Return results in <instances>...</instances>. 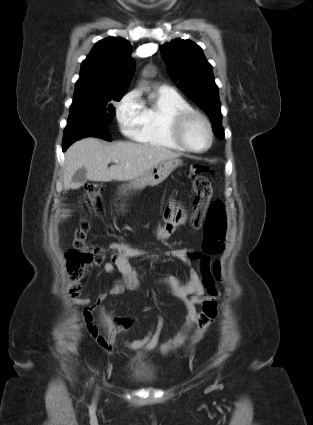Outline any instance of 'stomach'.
I'll return each instance as SVG.
<instances>
[{
	"mask_svg": "<svg viewBox=\"0 0 313 425\" xmlns=\"http://www.w3.org/2000/svg\"><path fill=\"white\" fill-rule=\"evenodd\" d=\"M181 164L182 161L177 158L166 159L153 166L143 175L130 180L128 184L123 185L122 187L125 190H141L146 186H157L162 183L171 174V172Z\"/></svg>",
	"mask_w": 313,
	"mask_h": 425,
	"instance_id": "1",
	"label": "stomach"
}]
</instances>
